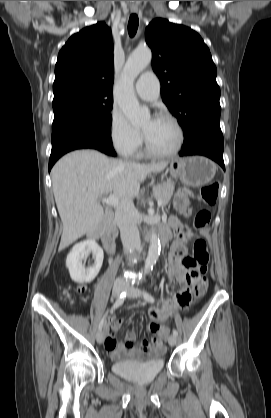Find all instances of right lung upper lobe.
I'll use <instances>...</instances> for the list:
<instances>
[{
    "mask_svg": "<svg viewBox=\"0 0 271 418\" xmlns=\"http://www.w3.org/2000/svg\"><path fill=\"white\" fill-rule=\"evenodd\" d=\"M111 30L99 22L72 35L58 54L53 101L77 95L113 96Z\"/></svg>",
    "mask_w": 271,
    "mask_h": 418,
    "instance_id": "obj_1",
    "label": "right lung upper lobe"
}]
</instances>
